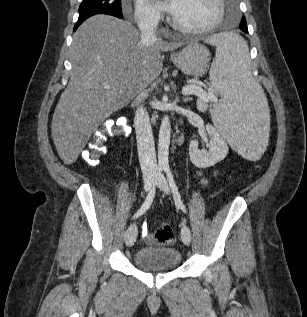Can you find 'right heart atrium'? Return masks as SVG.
I'll return each mask as SVG.
<instances>
[{"label":"right heart atrium","instance_id":"obj_1","mask_svg":"<svg viewBox=\"0 0 307 317\" xmlns=\"http://www.w3.org/2000/svg\"><path fill=\"white\" fill-rule=\"evenodd\" d=\"M134 17L140 26L153 27L160 20L161 13L147 0H135Z\"/></svg>","mask_w":307,"mask_h":317}]
</instances>
